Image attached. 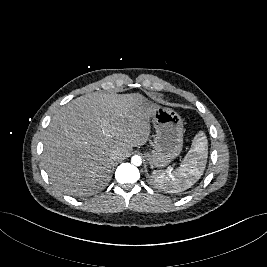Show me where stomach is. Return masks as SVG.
<instances>
[{
    "label": "stomach",
    "instance_id": "0dacf381",
    "mask_svg": "<svg viewBox=\"0 0 267 267\" xmlns=\"http://www.w3.org/2000/svg\"><path fill=\"white\" fill-rule=\"evenodd\" d=\"M142 106L151 109V119L156 130L153 150L147 154L151 168L167 166L182 151L183 121L172 109L157 105L143 97Z\"/></svg>",
    "mask_w": 267,
    "mask_h": 267
}]
</instances>
